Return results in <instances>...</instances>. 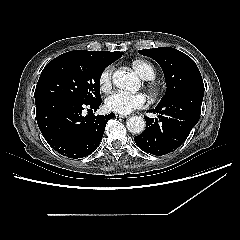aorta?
Wrapping results in <instances>:
<instances>
[{"mask_svg": "<svg viewBox=\"0 0 240 240\" xmlns=\"http://www.w3.org/2000/svg\"><path fill=\"white\" fill-rule=\"evenodd\" d=\"M113 83L121 90L134 91L138 88L137 77L126 70H117L112 76ZM127 129L133 134H141L145 130L142 117L132 116L126 122Z\"/></svg>", "mask_w": 240, "mask_h": 240, "instance_id": "obj_1", "label": "aorta"}]
</instances>
